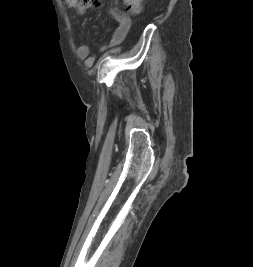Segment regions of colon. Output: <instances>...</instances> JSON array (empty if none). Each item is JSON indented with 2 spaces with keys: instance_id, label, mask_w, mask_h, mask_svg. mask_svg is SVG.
Returning <instances> with one entry per match:
<instances>
[{
  "instance_id": "colon-1",
  "label": "colon",
  "mask_w": 253,
  "mask_h": 267,
  "mask_svg": "<svg viewBox=\"0 0 253 267\" xmlns=\"http://www.w3.org/2000/svg\"><path fill=\"white\" fill-rule=\"evenodd\" d=\"M100 0H64L68 6H76L80 8H88L97 5ZM125 11L129 14H137L140 12L143 0H122Z\"/></svg>"
}]
</instances>
